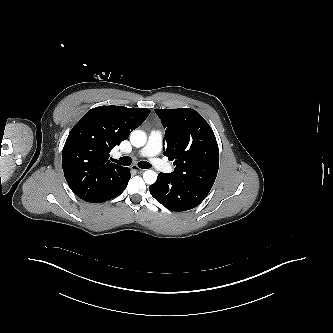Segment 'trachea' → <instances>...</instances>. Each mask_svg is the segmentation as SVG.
<instances>
[{"label": "trachea", "instance_id": "trachea-1", "mask_svg": "<svg viewBox=\"0 0 333 333\" xmlns=\"http://www.w3.org/2000/svg\"><path fill=\"white\" fill-rule=\"evenodd\" d=\"M117 164L123 165V166H130L132 163V159L129 156L121 157L119 160H115ZM138 166L142 169H149L151 168V164L147 161H141L138 163Z\"/></svg>", "mask_w": 333, "mask_h": 333}]
</instances>
